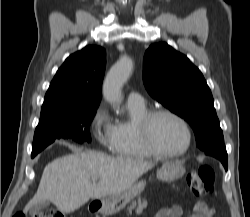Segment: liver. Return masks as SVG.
I'll return each instance as SVG.
<instances>
[{
    "instance_id": "6515ba94",
    "label": "liver",
    "mask_w": 250,
    "mask_h": 217,
    "mask_svg": "<svg viewBox=\"0 0 250 217\" xmlns=\"http://www.w3.org/2000/svg\"><path fill=\"white\" fill-rule=\"evenodd\" d=\"M153 166L141 159L115 158L92 151L55 159L45 167L37 192L24 211L51 201L61 212H73L91 198H103L126 190ZM93 178L98 182L91 183Z\"/></svg>"
}]
</instances>
